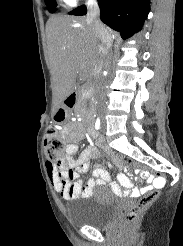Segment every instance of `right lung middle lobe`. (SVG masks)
Returning <instances> with one entry per match:
<instances>
[{
	"label": "right lung middle lobe",
	"mask_w": 183,
	"mask_h": 246,
	"mask_svg": "<svg viewBox=\"0 0 183 246\" xmlns=\"http://www.w3.org/2000/svg\"><path fill=\"white\" fill-rule=\"evenodd\" d=\"M44 1L48 7L49 12L54 13L56 11V6H57L56 1L55 0H44Z\"/></svg>",
	"instance_id": "1"
}]
</instances>
